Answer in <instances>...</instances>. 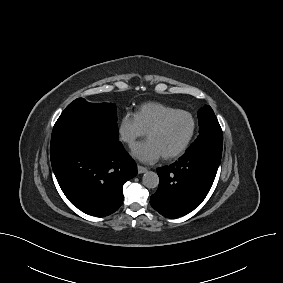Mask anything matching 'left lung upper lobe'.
I'll use <instances>...</instances> for the list:
<instances>
[{
    "instance_id": "1",
    "label": "left lung upper lobe",
    "mask_w": 283,
    "mask_h": 283,
    "mask_svg": "<svg viewBox=\"0 0 283 283\" xmlns=\"http://www.w3.org/2000/svg\"><path fill=\"white\" fill-rule=\"evenodd\" d=\"M199 136L186 150L203 149L222 156L223 134L219 122L210 106L205 105L198 111Z\"/></svg>"
}]
</instances>
